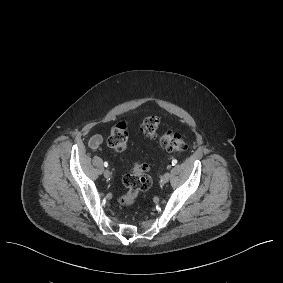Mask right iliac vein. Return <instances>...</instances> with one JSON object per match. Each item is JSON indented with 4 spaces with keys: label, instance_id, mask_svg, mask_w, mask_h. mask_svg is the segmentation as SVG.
Instances as JSON below:
<instances>
[{
    "label": "right iliac vein",
    "instance_id": "obj_1",
    "mask_svg": "<svg viewBox=\"0 0 283 283\" xmlns=\"http://www.w3.org/2000/svg\"><path fill=\"white\" fill-rule=\"evenodd\" d=\"M103 175L105 178H110L111 177V173L108 169L104 170Z\"/></svg>",
    "mask_w": 283,
    "mask_h": 283
}]
</instances>
